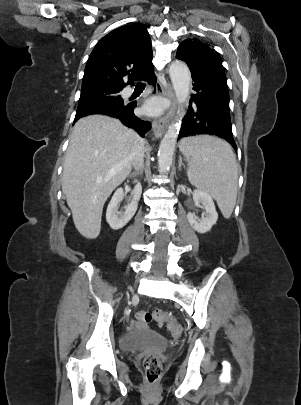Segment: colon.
I'll return each mask as SVG.
<instances>
[{"label":"colon","instance_id":"colon-1","mask_svg":"<svg viewBox=\"0 0 301 405\" xmlns=\"http://www.w3.org/2000/svg\"><path fill=\"white\" fill-rule=\"evenodd\" d=\"M136 319L138 322L144 324H149L152 321H156L160 325L167 323L170 332L176 337L180 336L182 333V327L174 317L159 309L152 312L139 311L136 313ZM143 368L146 380L149 384L157 382L163 371L162 363L154 353H149L144 357Z\"/></svg>","mask_w":301,"mask_h":405}]
</instances>
